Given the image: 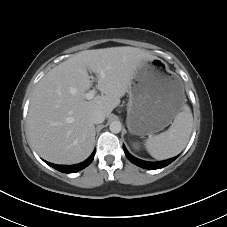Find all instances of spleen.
<instances>
[{
    "label": "spleen",
    "instance_id": "obj_1",
    "mask_svg": "<svg viewBox=\"0 0 227 227\" xmlns=\"http://www.w3.org/2000/svg\"><path fill=\"white\" fill-rule=\"evenodd\" d=\"M193 128V116L188 105H184L170 128L145 142V147L152 157L164 160L178 155L187 145Z\"/></svg>",
    "mask_w": 227,
    "mask_h": 227
}]
</instances>
